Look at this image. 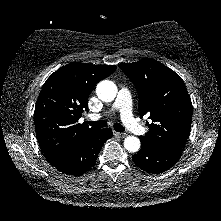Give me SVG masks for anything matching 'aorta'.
<instances>
[{"instance_id":"aorta-1","label":"aorta","mask_w":221,"mask_h":221,"mask_svg":"<svg viewBox=\"0 0 221 221\" xmlns=\"http://www.w3.org/2000/svg\"><path fill=\"white\" fill-rule=\"evenodd\" d=\"M96 93L100 100L111 102L116 97L117 87L112 81L103 80L98 83ZM124 147L129 152H136L140 148V140L137 137L128 136L124 140Z\"/></svg>"}]
</instances>
